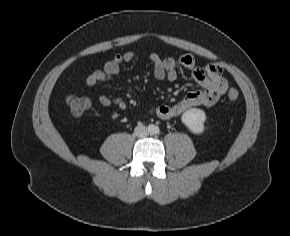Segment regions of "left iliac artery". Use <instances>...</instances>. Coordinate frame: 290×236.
<instances>
[{
    "label": "left iliac artery",
    "instance_id": "1",
    "mask_svg": "<svg viewBox=\"0 0 290 236\" xmlns=\"http://www.w3.org/2000/svg\"><path fill=\"white\" fill-rule=\"evenodd\" d=\"M159 132V129H156V133H158Z\"/></svg>",
    "mask_w": 290,
    "mask_h": 236
}]
</instances>
